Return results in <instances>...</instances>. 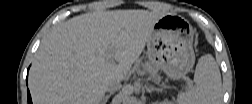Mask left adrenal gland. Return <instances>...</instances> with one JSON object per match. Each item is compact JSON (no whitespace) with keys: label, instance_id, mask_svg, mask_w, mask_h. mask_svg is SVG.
I'll use <instances>...</instances> for the list:
<instances>
[{"label":"left adrenal gland","instance_id":"left-adrenal-gland-1","mask_svg":"<svg viewBox=\"0 0 252 104\" xmlns=\"http://www.w3.org/2000/svg\"><path fill=\"white\" fill-rule=\"evenodd\" d=\"M145 88L148 93H151L152 91H162V88H155L154 86L149 85H146Z\"/></svg>","mask_w":252,"mask_h":104}]
</instances>
